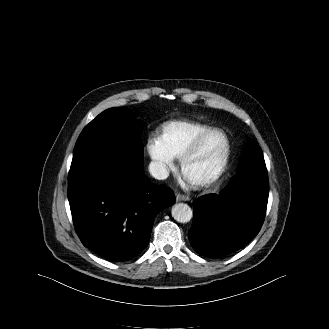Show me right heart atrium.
I'll return each instance as SVG.
<instances>
[{
    "label": "right heart atrium",
    "instance_id": "1",
    "mask_svg": "<svg viewBox=\"0 0 329 329\" xmlns=\"http://www.w3.org/2000/svg\"><path fill=\"white\" fill-rule=\"evenodd\" d=\"M146 148L157 174L165 175L173 166L174 157L163 147L158 138H150Z\"/></svg>",
    "mask_w": 329,
    "mask_h": 329
}]
</instances>
